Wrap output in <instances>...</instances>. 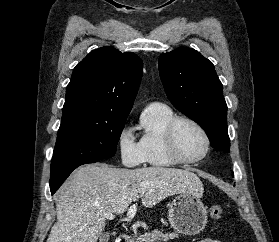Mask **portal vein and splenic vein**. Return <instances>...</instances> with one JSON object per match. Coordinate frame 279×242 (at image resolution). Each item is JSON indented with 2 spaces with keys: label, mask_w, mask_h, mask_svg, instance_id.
I'll return each instance as SVG.
<instances>
[{
  "label": "portal vein and splenic vein",
  "mask_w": 279,
  "mask_h": 242,
  "mask_svg": "<svg viewBox=\"0 0 279 242\" xmlns=\"http://www.w3.org/2000/svg\"><path fill=\"white\" fill-rule=\"evenodd\" d=\"M136 210H137L136 204H133V205L128 209V212H127V220H128V221H130V220L134 217V215H135V213H136ZM104 216H105L106 219H110V220L115 219V215L112 214V213H106V214H104Z\"/></svg>",
  "instance_id": "portal-vein-and-splenic-vein-1"
}]
</instances>
